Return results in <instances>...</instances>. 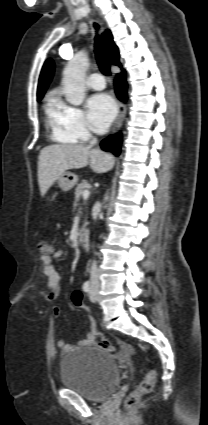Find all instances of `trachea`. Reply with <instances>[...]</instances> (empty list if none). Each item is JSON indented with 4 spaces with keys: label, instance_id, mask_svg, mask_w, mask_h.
Segmentation results:
<instances>
[{
    "label": "trachea",
    "instance_id": "trachea-1",
    "mask_svg": "<svg viewBox=\"0 0 208 425\" xmlns=\"http://www.w3.org/2000/svg\"><path fill=\"white\" fill-rule=\"evenodd\" d=\"M95 29L99 25L94 24ZM95 56L101 72L105 75H110V64L106 58L105 48L99 35L95 36Z\"/></svg>",
    "mask_w": 208,
    "mask_h": 425
}]
</instances>
